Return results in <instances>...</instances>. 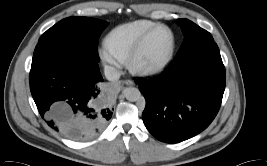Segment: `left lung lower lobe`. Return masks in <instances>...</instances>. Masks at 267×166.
Segmentation results:
<instances>
[{
    "label": "left lung lower lobe",
    "mask_w": 267,
    "mask_h": 166,
    "mask_svg": "<svg viewBox=\"0 0 267 166\" xmlns=\"http://www.w3.org/2000/svg\"><path fill=\"white\" fill-rule=\"evenodd\" d=\"M146 100L143 122L158 140L178 143L202 132L220 108L225 68L215 42L198 46L159 76L136 80Z\"/></svg>",
    "instance_id": "0a47b994"
}]
</instances>
